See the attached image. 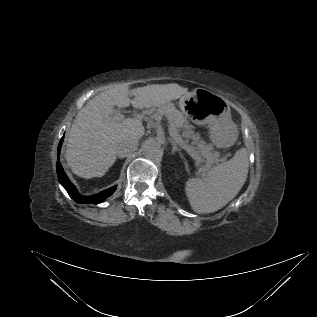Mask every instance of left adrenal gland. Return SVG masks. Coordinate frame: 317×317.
I'll return each mask as SVG.
<instances>
[{"mask_svg":"<svg viewBox=\"0 0 317 317\" xmlns=\"http://www.w3.org/2000/svg\"><path fill=\"white\" fill-rule=\"evenodd\" d=\"M170 143L172 144V153H174L175 151L180 152V149L178 148L174 140L170 139Z\"/></svg>","mask_w":317,"mask_h":317,"instance_id":"a2214340","label":"left adrenal gland"}]
</instances>
